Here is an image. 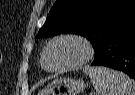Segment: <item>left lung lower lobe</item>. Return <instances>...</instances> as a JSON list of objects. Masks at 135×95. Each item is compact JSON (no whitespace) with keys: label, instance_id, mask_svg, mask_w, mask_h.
Instances as JSON below:
<instances>
[{"label":"left lung lower lobe","instance_id":"obj_1","mask_svg":"<svg viewBox=\"0 0 135 95\" xmlns=\"http://www.w3.org/2000/svg\"><path fill=\"white\" fill-rule=\"evenodd\" d=\"M91 65L122 71L135 80V20L104 39Z\"/></svg>","mask_w":135,"mask_h":95}]
</instances>
